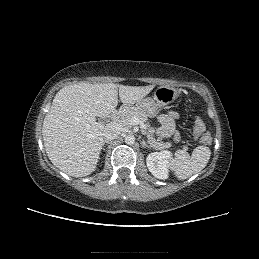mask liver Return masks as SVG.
Listing matches in <instances>:
<instances>
[{"instance_id": "1", "label": "liver", "mask_w": 259, "mask_h": 259, "mask_svg": "<svg viewBox=\"0 0 259 259\" xmlns=\"http://www.w3.org/2000/svg\"><path fill=\"white\" fill-rule=\"evenodd\" d=\"M154 85L124 86L81 82L58 91L43 121V141L50 161L73 177L90 175L103 146L105 125L96 117L112 113L121 102L129 107Z\"/></svg>"}]
</instances>
